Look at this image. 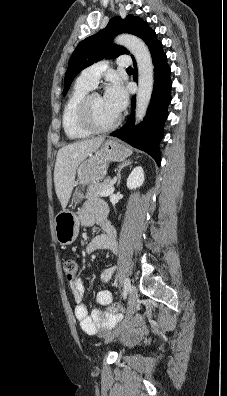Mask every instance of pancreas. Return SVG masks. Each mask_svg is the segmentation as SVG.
Instances as JSON below:
<instances>
[{
  "label": "pancreas",
  "mask_w": 227,
  "mask_h": 396,
  "mask_svg": "<svg viewBox=\"0 0 227 396\" xmlns=\"http://www.w3.org/2000/svg\"><path fill=\"white\" fill-rule=\"evenodd\" d=\"M111 184L112 182L110 180H105L102 183L99 182L91 183L87 188L86 197L87 198L100 197L101 192L109 188Z\"/></svg>",
  "instance_id": "pancreas-1"
}]
</instances>
